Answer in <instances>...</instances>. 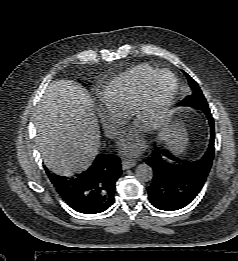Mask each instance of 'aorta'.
Masks as SVG:
<instances>
[{
  "label": "aorta",
  "mask_w": 238,
  "mask_h": 261,
  "mask_svg": "<svg viewBox=\"0 0 238 261\" xmlns=\"http://www.w3.org/2000/svg\"><path fill=\"white\" fill-rule=\"evenodd\" d=\"M135 176L140 181L148 182L153 178V170L149 165L145 163L139 164L136 167Z\"/></svg>",
  "instance_id": "1"
}]
</instances>
